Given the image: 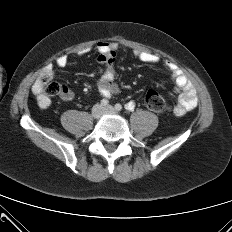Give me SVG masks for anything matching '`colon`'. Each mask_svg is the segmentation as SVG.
<instances>
[{
	"label": "colon",
	"mask_w": 232,
	"mask_h": 232,
	"mask_svg": "<svg viewBox=\"0 0 232 232\" xmlns=\"http://www.w3.org/2000/svg\"><path fill=\"white\" fill-rule=\"evenodd\" d=\"M38 83L42 90L50 96L63 95L65 89L63 85L51 79L50 74L43 75ZM146 107L156 113H163L166 111L167 105L165 99L156 91L150 90L147 92L144 99Z\"/></svg>",
	"instance_id": "obj_1"
}]
</instances>
